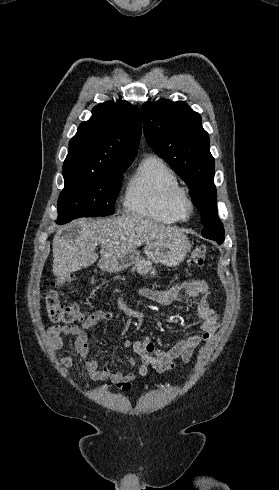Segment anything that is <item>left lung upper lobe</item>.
Here are the masks:
<instances>
[{"mask_svg": "<svg viewBox=\"0 0 279 490\" xmlns=\"http://www.w3.org/2000/svg\"><path fill=\"white\" fill-rule=\"evenodd\" d=\"M142 118L148 145L189 186L201 212L202 236L221 244L225 231L217 215L214 158L199 113L184 101L163 100L144 103Z\"/></svg>", "mask_w": 279, "mask_h": 490, "instance_id": "left-lung-upper-lobe-1", "label": "left lung upper lobe"}]
</instances>
